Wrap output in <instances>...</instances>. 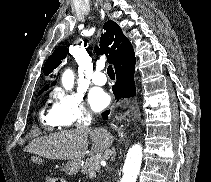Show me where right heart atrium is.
Returning a JSON list of instances; mask_svg holds the SVG:
<instances>
[{
  "label": "right heart atrium",
  "instance_id": "1",
  "mask_svg": "<svg viewBox=\"0 0 211 182\" xmlns=\"http://www.w3.org/2000/svg\"><path fill=\"white\" fill-rule=\"evenodd\" d=\"M52 113L62 126L83 125L91 114L84 105L80 93L57 90L53 93Z\"/></svg>",
  "mask_w": 211,
  "mask_h": 182
}]
</instances>
